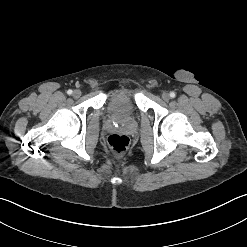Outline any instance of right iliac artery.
<instances>
[{"instance_id":"1","label":"right iliac artery","mask_w":247,"mask_h":247,"mask_svg":"<svg viewBox=\"0 0 247 247\" xmlns=\"http://www.w3.org/2000/svg\"><path fill=\"white\" fill-rule=\"evenodd\" d=\"M72 93H73V91L70 90V89L67 91V94H68V95H71Z\"/></svg>"}]
</instances>
